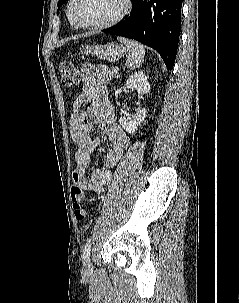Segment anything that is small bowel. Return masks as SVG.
I'll list each match as a JSON object with an SVG mask.
<instances>
[{
	"mask_svg": "<svg viewBox=\"0 0 239 303\" xmlns=\"http://www.w3.org/2000/svg\"><path fill=\"white\" fill-rule=\"evenodd\" d=\"M83 87L76 98L75 106L88 102L90 106L80 116L71 119L72 137L76 145V168L72 174L74 185L82 190L101 195L112 180L111 169L116 166L124 152L128 149L130 140L127 134L117 124L112 105L107 98V87L98 70L91 64H83ZM100 125L111 147L107 151L105 167L95 169L88 175L91 155L100 146L98 137L91 136L92 127Z\"/></svg>",
	"mask_w": 239,
	"mask_h": 303,
	"instance_id": "c3829d8e",
	"label": "small bowel"
}]
</instances>
